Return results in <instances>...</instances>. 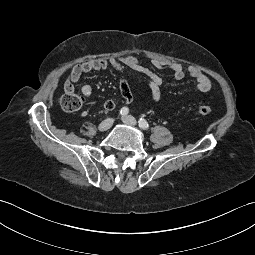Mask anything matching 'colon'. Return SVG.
Returning a JSON list of instances; mask_svg holds the SVG:
<instances>
[{"instance_id":"1","label":"colon","mask_w":255,"mask_h":255,"mask_svg":"<svg viewBox=\"0 0 255 255\" xmlns=\"http://www.w3.org/2000/svg\"><path fill=\"white\" fill-rule=\"evenodd\" d=\"M60 107L67 112H74L81 109L84 105V99L74 89H66L64 94L59 98ZM197 112L203 116L212 114L211 106L203 104L197 107Z\"/></svg>"}]
</instances>
